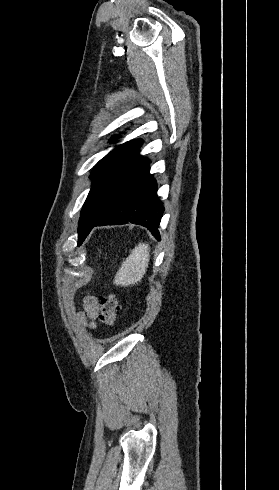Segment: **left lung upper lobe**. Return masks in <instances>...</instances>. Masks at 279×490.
Returning <instances> with one entry per match:
<instances>
[{
    "mask_svg": "<svg viewBox=\"0 0 279 490\" xmlns=\"http://www.w3.org/2000/svg\"><path fill=\"white\" fill-rule=\"evenodd\" d=\"M142 142L138 139L119 145L92 170V187L79 219L78 245L85 240L88 229L111 210L120 189L143 158L138 153Z\"/></svg>",
    "mask_w": 279,
    "mask_h": 490,
    "instance_id": "left-lung-upper-lobe-1",
    "label": "left lung upper lobe"
}]
</instances>
